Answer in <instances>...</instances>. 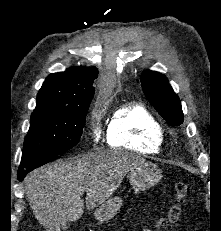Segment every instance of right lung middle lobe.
<instances>
[{"mask_svg":"<svg viewBox=\"0 0 221 231\" xmlns=\"http://www.w3.org/2000/svg\"><path fill=\"white\" fill-rule=\"evenodd\" d=\"M90 102L35 108L20 166L26 167L41 159L61 155L75 146L82 135Z\"/></svg>","mask_w":221,"mask_h":231,"instance_id":"right-lung-middle-lobe-1","label":"right lung middle lobe"}]
</instances>
